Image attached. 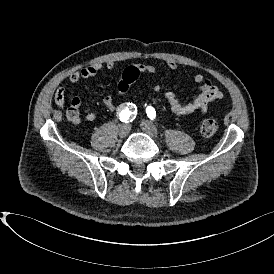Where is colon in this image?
I'll return each mask as SVG.
<instances>
[{
	"label": "colon",
	"instance_id": "1",
	"mask_svg": "<svg viewBox=\"0 0 274 274\" xmlns=\"http://www.w3.org/2000/svg\"><path fill=\"white\" fill-rule=\"evenodd\" d=\"M140 75V70L136 66H128L122 73V80L117 82V89L119 91H126L128 83L135 81ZM66 115L70 121L75 122L78 117V111L75 107H70L66 110ZM217 122L213 118H205L201 122V132L203 135L209 136L216 132Z\"/></svg>",
	"mask_w": 274,
	"mask_h": 274
}]
</instances>
